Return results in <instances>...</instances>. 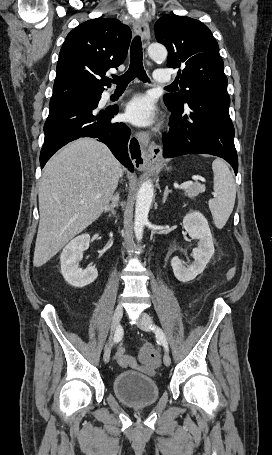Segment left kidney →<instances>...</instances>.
Masks as SVG:
<instances>
[{"instance_id": "5707ae66", "label": "left kidney", "mask_w": 272, "mask_h": 455, "mask_svg": "<svg viewBox=\"0 0 272 455\" xmlns=\"http://www.w3.org/2000/svg\"><path fill=\"white\" fill-rule=\"evenodd\" d=\"M183 227L191 238L198 240V247L193 249L194 261L189 267H185L182 260L173 257L171 266L179 281L189 282L204 271L214 254V245L208 222L199 211L186 214L183 219Z\"/></svg>"}]
</instances>
